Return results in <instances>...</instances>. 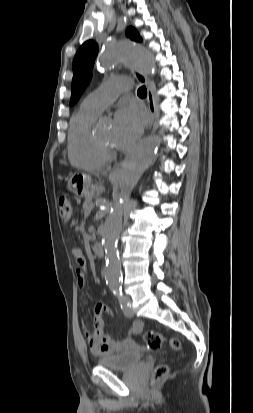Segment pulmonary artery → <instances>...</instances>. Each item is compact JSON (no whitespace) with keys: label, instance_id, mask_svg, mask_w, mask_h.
<instances>
[{"label":"pulmonary artery","instance_id":"e3ab8cb5","mask_svg":"<svg viewBox=\"0 0 253 413\" xmlns=\"http://www.w3.org/2000/svg\"><path fill=\"white\" fill-rule=\"evenodd\" d=\"M128 87L120 80L111 79L106 81L99 89L90 93L82 102V106L97 114H100L108 105L114 102L120 93Z\"/></svg>","mask_w":253,"mask_h":413}]
</instances>
